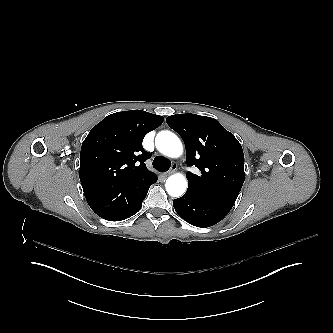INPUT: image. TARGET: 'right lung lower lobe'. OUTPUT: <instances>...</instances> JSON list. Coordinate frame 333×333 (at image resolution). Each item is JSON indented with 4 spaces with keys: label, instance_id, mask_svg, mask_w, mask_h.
<instances>
[{
    "label": "right lung lower lobe",
    "instance_id": "98d812e1",
    "mask_svg": "<svg viewBox=\"0 0 333 333\" xmlns=\"http://www.w3.org/2000/svg\"><path fill=\"white\" fill-rule=\"evenodd\" d=\"M156 181V174L149 171L123 180L85 177L81 184L89 206L98 216L121 221L140 210L149 187Z\"/></svg>",
    "mask_w": 333,
    "mask_h": 333
}]
</instances>
